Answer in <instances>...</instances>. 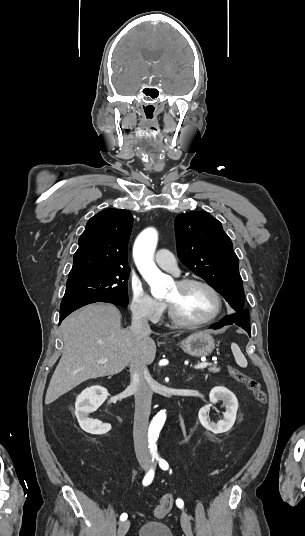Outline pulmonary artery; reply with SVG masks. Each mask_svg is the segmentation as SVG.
<instances>
[{
	"instance_id": "obj_1",
	"label": "pulmonary artery",
	"mask_w": 305,
	"mask_h": 536,
	"mask_svg": "<svg viewBox=\"0 0 305 536\" xmlns=\"http://www.w3.org/2000/svg\"><path fill=\"white\" fill-rule=\"evenodd\" d=\"M154 261L161 268L173 273L174 275L179 274V269L173 255L166 249H159L154 255Z\"/></svg>"
}]
</instances>
